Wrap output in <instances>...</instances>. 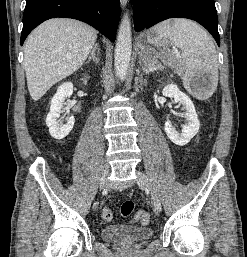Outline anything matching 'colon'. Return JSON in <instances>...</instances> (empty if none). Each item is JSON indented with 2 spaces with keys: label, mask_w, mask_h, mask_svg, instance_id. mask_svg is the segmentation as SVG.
I'll return each mask as SVG.
<instances>
[{
  "label": "colon",
  "mask_w": 247,
  "mask_h": 257,
  "mask_svg": "<svg viewBox=\"0 0 247 257\" xmlns=\"http://www.w3.org/2000/svg\"><path fill=\"white\" fill-rule=\"evenodd\" d=\"M121 215L123 217H130L134 212V203L130 200H127L122 203L120 208ZM102 218L105 221H110L113 218V212L110 209H104L102 211ZM133 221L139 222L142 225H146L149 222V213L146 211H138L134 214Z\"/></svg>",
  "instance_id": "obj_1"
}]
</instances>
